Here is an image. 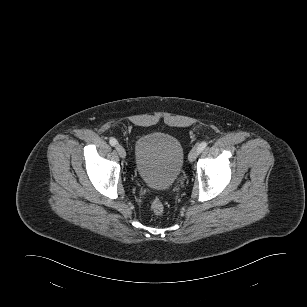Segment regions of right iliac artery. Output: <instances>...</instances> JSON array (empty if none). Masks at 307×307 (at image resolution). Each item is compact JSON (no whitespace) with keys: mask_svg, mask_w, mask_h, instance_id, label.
Here are the masks:
<instances>
[{"mask_svg":"<svg viewBox=\"0 0 307 307\" xmlns=\"http://www.w3.org/2000/svg\"><path fill=\"white\" fill-rule=\"evenodd\" d=\"M109 143H110L111 146H116L118 144V142L115 138H110Z\"/></svg>","mask_w":307,"mask_h":307,"instance_id":"right-iliac-artery-1","label":"right iliac artery"}]
</instances>
